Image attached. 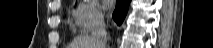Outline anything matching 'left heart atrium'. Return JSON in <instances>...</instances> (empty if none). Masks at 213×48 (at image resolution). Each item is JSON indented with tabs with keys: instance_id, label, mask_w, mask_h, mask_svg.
I'll return each instance as SVG.
<instances>
[{
	"instance_id": "left-heart-atrium-1",
	"label": "left heart atrium",
	"mask_w": 213,
	"mask_h": 48,
	"mask_svg": "<svg viewBox=\"0 0 213 48\" xmlns=\"http://www.w3.org/2000/svg\"><path fill=\"white\" fill-rule=\"evenodd\" d=\"M112 4H113V1L105 0V1H103V8L104 9H109V8H111Z\"/></svg>"
}]
</instances>
